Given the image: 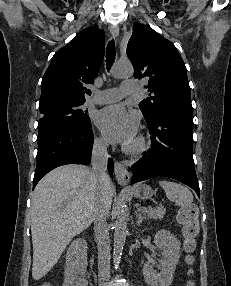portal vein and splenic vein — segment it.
I'll return each mask as SVG.
<instances>
[{
    "instance_id": "1",
    "label": "portal vein and splenic vein",
    "mask_w": 231,
    "mask_h": 286,
    "mask_svg": "<svg viewBox=\"0 0 231 286\" xmlns=\"http://www.w3.org/2000/svg\"><path fill=\"white\" fill-rule=\"evenodd\" d=\"M138 210H140L142 212H150V211H153L154 209H152V208H145V207H139Z\"/></svg>"
}]
</instances>
